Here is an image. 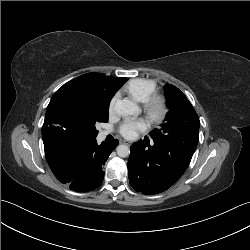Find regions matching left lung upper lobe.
Masks as SVG:
<instances>
[{
	"label": "left lung upper lobe",
	"mask_w": 250,
	"mask_h": 250,
	"mask_svg": "<svg viewBox=\"0 0 250 250\" xmlns=\"http://www.w3.org/2000/svg\"><path fill=\"white\" fill-rule=\"evenodd\" d=\"M164 92L169 111L165 123L150 133L151 139L164 140L174 135L198 133L200 121L186 96L170 84L164 86Z\"/></svg>",
	"instance_id": "obj_1"
}]
</instances>
